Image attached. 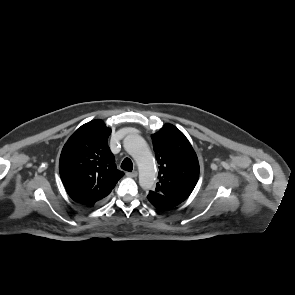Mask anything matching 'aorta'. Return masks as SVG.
I'll return each mask as SVG.
<instances>
[{
	"label": "aorta",
	"instance_id": "1",
	"mask_svg": "<svg viewBox=\"0 0 295 295\" xmlns=\"http://www.w3.org/2000/svg\"><path fill=\"white\" fill-rule=\"evenodd\" d=\"M125 150L133 157L139 168V184L143 189H152L156 181L154 161L143 137L130 134L123 141Z\"/></svg>",
	"mask_w": 295,
	"mask_h": 295
}]
</instances>
